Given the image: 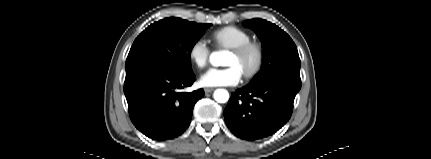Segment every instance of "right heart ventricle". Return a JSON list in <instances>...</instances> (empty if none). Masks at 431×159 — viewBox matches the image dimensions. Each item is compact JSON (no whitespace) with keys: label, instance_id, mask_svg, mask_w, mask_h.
<instances>
[{"label":"right heart ventricle","instance_id":"e07e8e85","mask_svg":"<svg viewBox=\"0 0 431 159\" xmlns=\"http://www.w3.org/2000/svg\"><path fill=\"white\" fill-rule=\"evenodd\" d=\"M213 40L220 47L234 48L251 41V35L236 26H227L218 29L212 34Z\"/></svg>","mask_w":431,"mask_h":159}]
</instances>
